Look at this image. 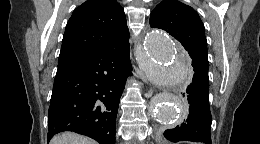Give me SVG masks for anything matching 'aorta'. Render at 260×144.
Listing matches in <instances>:
<instances>
[{
    "label": "aorta",
    "mask_w": 260,
    "mask_h": 144,
    "mask_svg": "<svg viewBox=\"0 0 260 144\" xmlns=\"http://www.w3.org/2000/svg\"><path fill=\"white\" fill-rule=\"evenodd\" d=\"M142 53L144 57L140 60V67L153 84L179 88L188 78L187 55L164 31H149ZM150 104L158 122L174 125L183 117V100L179 90L155 95Z\"/></svg>",
    "instance_id": "1"
}]
</instances>
